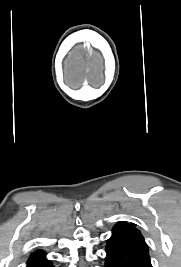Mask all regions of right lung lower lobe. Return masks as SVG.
<instances>
[{"label": "right lung lower lobe", "instance_id": "obj_1", "mask_svg": "<svg viewBox=\"0 0 181 267\" xmlns=\"http://www.w3.org/2000/svg\"><path fill=\"white\" fill-rule=\"evenodd\" d=\"M27 267H53V265L45 258V253L37 251L29 258Z\"/></svg>", "mask_w": 181, "mask_h": 267}]
</instances>
